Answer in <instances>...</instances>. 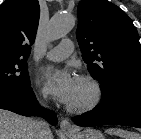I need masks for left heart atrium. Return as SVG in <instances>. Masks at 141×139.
I'll use <instances>...</instances> for the list:
<instances>
[{
	"label": "left heart atrium",
	"instance_id": "left-heart-atrium-1",
	"mask_svg": "<svg viewBox=\"0 0 141 139\" xmlns=\"http://www.w3.org/2000/svg\"><path fill=\"white\" fill-rule=\"evenodd\" d=\"M40 76L49 94L63 103L70 101L76 78L68 70L47 67L41 71Z\"/></svg>",
	"mask_w": 141,
	"mask_h": 139
}]
</instances>
